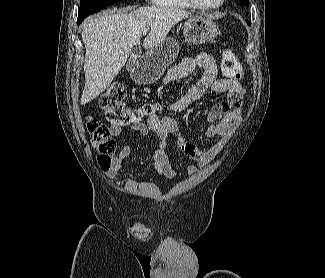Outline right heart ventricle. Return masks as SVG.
Returning a JSON list of instances; mask_svg holds the SVG:
<instances>
[{
    "mask_svg": "<svg viewBox=\"0 0 325 278\" xmlns=\"http://www.w3.org/2000/svg\"><path fill=\"white\" fill-rule=\"evenodd\" d=\"M152 3L159 7L172 9H192L194 8L188 0H151Z\"/></svg>",
    "mask_w": 325,
    "mask_h": 278,
    "instance_id": "obj_1",
    "label": "right heart ventricle"
}]
</instances>
